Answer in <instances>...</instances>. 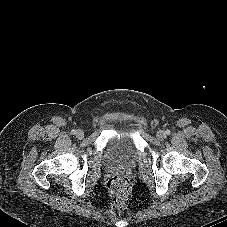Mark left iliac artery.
I'll use <instances>...</instances> for the list:
<instances>
[{"instance_id":"left-iliac-artery-1","label":"left iliac artery","mask_w":227,"mask_h":227,"mask_svg":"<svg viewBox=\"0 0 227 227\" xmlns=\"http://www.w3.org/2000/svg\"><path fill=\"white\" fill-rule=\"evenodd\" d=\"M166 134L169 135L170 134V131L169 130H166Z\"/></svg>"}]
</instances>
